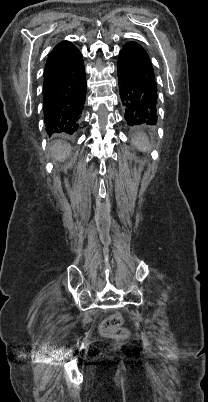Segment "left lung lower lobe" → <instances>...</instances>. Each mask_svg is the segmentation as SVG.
I'll return each mask as SVG.
<instances>
[{
	"instance_id": "0a47b994",
	"label": "left lung lower lobe",
	"mask_w": 208,
	"mask_h": 402,
	"mask_svg": "<svg viewBox=\"0 0 208 402\" xmlns=\"http://www.w3.org/2000/svg\"><path fill=\"white\" fill-rule=\"evenodd\" d=\"M118 81L125 120L129 126L157 122V84L151 60L145 49L128 42L120 50Z\"/></svg>"
}]
</instances>
